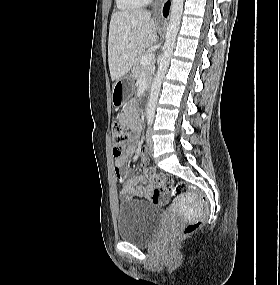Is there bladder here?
I'll return each mask as SVG.
<instances>
[{
	"mask_svg": "<svg viewBox=\"0 0 280 285\" xmlns=\"http://www.w3.org/2000/svg\"><path fill=\"white\" fill-rule=\"evenodd\" d=\"M163 210L144 201L120 203L117 230L120 239L136 244H149L157 236L163 219Z\"/></svg>",
	"mask_w": 280,
	"mask_h": 285,
	"instance_id": "obj_1",
	"label": "bladder"
}]
</instances>
